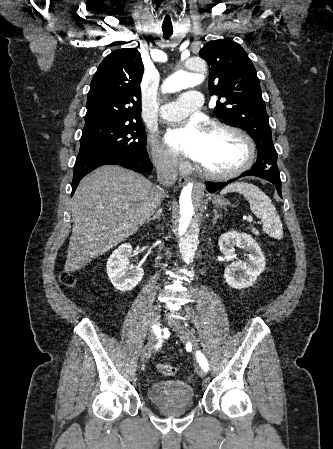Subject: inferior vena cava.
<instances>
[{"instance_id":"obj_1","label":"inferior vena cava","mask_w":333,"mask_h":449,"mask_svg":"<svg viewBox=\"0 0 333 449\" xmlns=\"http://www.w3.org/2000/svg\"><path fill=\"white\" fill-rule=\"evenodd\" d=\"M158 182L166 187L173 185L177 179V161L170 155L163 154L155 161ZM161 194L164 193L159 188Z\"/></svg>"}]
</instances>
